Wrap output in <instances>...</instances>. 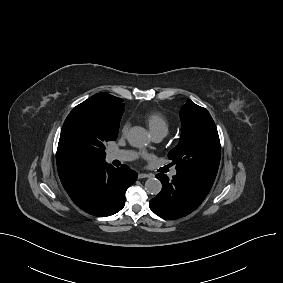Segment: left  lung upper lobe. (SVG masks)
<instances>
[{"label": "left lung upper lobe", "instance_id": "5c2ea615", "mask_svg": "<svg viewBox=\"0 0 283 283\" xmlns=\"http://www.w3.org/2000/svg\"><path fill=\"white\" fill-rule=\"evenodd\" d=\"M182 134L168 157L178 174L185 175L210 190L217 175L221 145L209 112L191 100L180 110Z\"/></svg>", "mask_w": 283, "mask_h": 283}]
</instances>
